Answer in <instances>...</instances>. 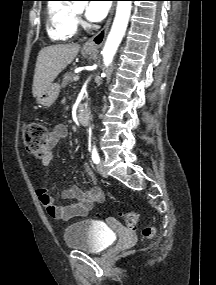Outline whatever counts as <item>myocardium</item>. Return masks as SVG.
<instances>
[{
    "instance_id": "1",
    "label": "myocardium",
    "mask_w": 216,
    "mask_h": 285,
    "mask_svg": "<svg viewBox=\"0 0 216 285\" xmlns=\"http://www.w3.org/2000/svg\"><path fill=\"white\" fill-rule=\"evenodd\" d=\"M73 9H74V12H75L76 15H79V14H80V11H79V10H77V9L74 8V7H73Z\"/></svg>"
}]
</instances>
